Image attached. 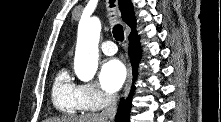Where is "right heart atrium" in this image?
Here are the masks:
<instances>
[{"mask_svg":"<svg viewBox=\"0 0 221 122\" xmlns=\"http://www.w3.org/2000/svg\"><path fill=\"white\" fill-rule=\"evenodd\" d=\"M80 99L85 110H99L111 104L114 96L104 92L94 84H82L79 86Z\"/></svg>","mask_w":221,"mask_h":122,"instance_id":"d8ad5b80","label":"right heart atrium"}]
</instances>
